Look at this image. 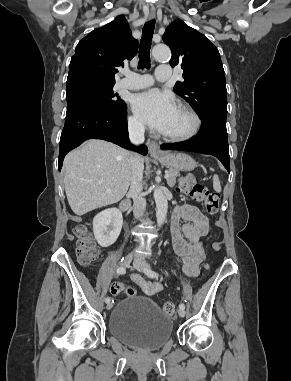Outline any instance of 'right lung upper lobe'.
<instances>
[{
    "label": "right lung upper lobe",
    "instance_id": "right-lung-upper-lobe-1",
    "mask_svg": "<svg viewBox=\"0 0 291 381\" xmlns=\"http://www.w3.org/2000/svg\"><path fill=\"white\" fill-rule=\"evenodd\" d=\"M138 41L132 37L124 16L91 31L76 46L67 79L83 77L102 83H115L114 75L124 60L137 53Z\"/></svg>",
    "mask_w": 291,
    "mask_h": 381
}]
</instances>
